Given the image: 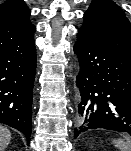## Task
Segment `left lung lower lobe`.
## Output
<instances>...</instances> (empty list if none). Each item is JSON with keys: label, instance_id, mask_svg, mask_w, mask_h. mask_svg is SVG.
Instances as JSON below:
<instances>
[{"label": "left lung lower lobe", "instance_id": "0a47b994", "mask_svg": "<svg viewBox=\"0 0 131 151\" xmlns=\"http://www.w3.org/2000/svg\"><path fill=\"white\" fill-rule=\"evenodd\" d=\"M74 52L79 62L81 94L74 138L94 130L131 135V57L77 34Z\"/></svg>", "mask_w": 131, "mask_h": 151}]
</instances>
